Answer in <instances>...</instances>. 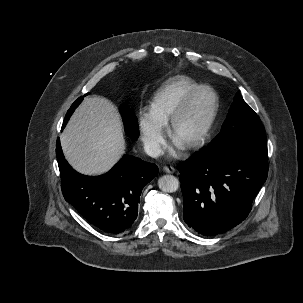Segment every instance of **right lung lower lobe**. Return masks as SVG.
Segmentation results:
<instances>
[{
	"mask_svg": "<svg viewBox=\"0 0 303 303\" xmlns=\"http://www.w3.org/2000/svg\"><path fill=\"white\" fill-rule=\"evenodd\" d=\"M56 156L66 201L104 232L120 234L131 229L138 214L142 189L158 173L155 164L124 155L108 173L85 176L65 160L59 138Z\"/></svg>",
	"mask_w": 303,
	"mask_h": 303,
	"instance_id": "obj_1",
	"label": "right lung lower lobe"
}]
</instances>
